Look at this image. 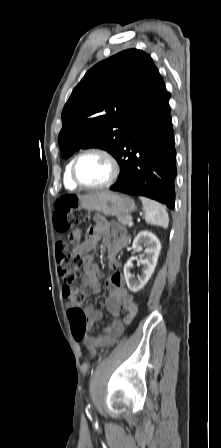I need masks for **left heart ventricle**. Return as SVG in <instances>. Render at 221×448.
I'll return each instance as SVG.
<instances>
[{"instance_id":"obj_1","label":"left heart ventricle","mask_w":221,"mask_h":448,"mask_svg":"<svg viewBox=\"0 0 221 448\" xmlns=\"http://www.w3.org/2000/svg\"><path fill=\"white\" fill-rule=\"evenodd\" d=\"M111 168L105 157L89 154L83 157L77 167V175L86 184H102L111 176Z\"/></svg>"}]
</instances>
